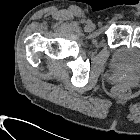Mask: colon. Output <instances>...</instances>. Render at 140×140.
I'll use <instances>...</instances> for the list:
<instances>
[{
    "label": "colon",
    "mask_w": 140,
    "mask_h": 140,
    "mask_svg": "<svg viewBox=\"0 0 140 140\" xmlns=\"http://www.w3.org/2000/svg\"><path fill=\"white\" fill-rule=\"evenodd\" d=\"M112 94L118 98H126L130 94V88L124 84H119L113 88Z\"/></svg>",
    "instance_id": "5ec220e1"
}]
</instances>
